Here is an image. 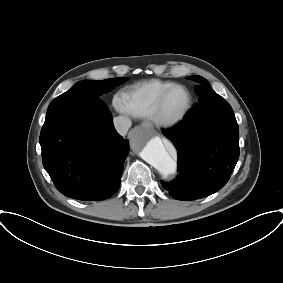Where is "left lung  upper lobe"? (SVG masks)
Masks as SVG:
<instances>
[{
	"label": "left lung upper lobe",
	"instance_id": "obj_1",
	"mask_svg": "<svg viewBox=\"0 0 283 283\" xmlns=\"http://www.w3.org/2000/svg\"><path fill=\"white\" fill-rule=\"evenodd\" d=\"M190 78L199 82V85H196L195 89L200 96V102H203V100H210V98H214L216 93L211 89L206 79L201 76H192ZM225 133L239 135V128L234 114L231 116L230 123L225 129Z\"/></svg>",
	"mask_w": 283,
	"mask_h": 283
}]
</instances>
